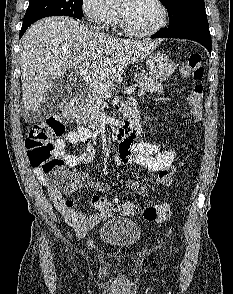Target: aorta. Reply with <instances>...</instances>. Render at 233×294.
<instances>
[{"mask_svg":"<svg viewBox=\"0 0 233 294\" xmlns=\"http://www.w3.org/2000/svg\"><path fill=\"white\" fill-rule=\"evenodd\" d=\"M119 1H121V0H105V3L107 5H114V4L118 3Z\"/></svg>","mask_w":233,"mask_h":294,"instance_id":"762f6f07","label":"aorta"}]
</instances>
